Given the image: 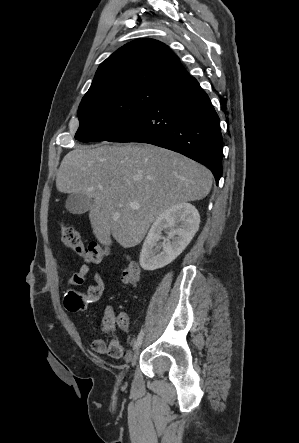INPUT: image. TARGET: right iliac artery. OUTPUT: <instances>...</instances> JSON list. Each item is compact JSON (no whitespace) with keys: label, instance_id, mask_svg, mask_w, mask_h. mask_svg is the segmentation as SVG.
<instances>
[{"label":"right iliac artery","instance_id":"1","mask_svg":"<svg viewBox=\"0 0 299 443\" xmlns=\"http://www.w3.org/2000/svg\"><path fill=\"white\" fill-rule=\"evenodd\" d=\"M143 335H144L143 330H141L138 337H137V340L134 344V347H133L134 350L137 349L141 345L142 340H143Z\"/></svg>","mask_w":299,"mask_h":443}]
</instances>
